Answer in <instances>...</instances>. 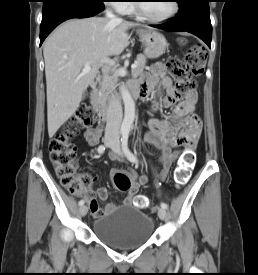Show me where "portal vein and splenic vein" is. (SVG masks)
<instances>
[{
  "label": "portal vein and splenic vein",
  "instance_id": "obj_1",
  "mask_svg": "<svg viewBox=\"0 0 258 275\" xmlns=\"http://www.w3.org/2000/svg\"><path fill=\"white\" fill-rule=\"evenodd\" d=\"M107 62L110 63V64H113V61H111V60H107ZM136 66H137V63L135 62L134 64L131 65V68L134 69ZM90 69H91V68H90V65H89V64H86V65L84 66V68H83V72H84V73H87V72L90 71Z\"/></svg>",
  "mask_w": 258,
  "mask_h": 275
}]
</instances>
